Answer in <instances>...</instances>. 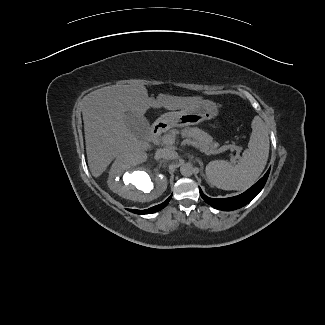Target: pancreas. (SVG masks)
Listing matches in <instances>:
<instances>
[{
	"mask_svg": "<svg viewBox=\"0 0 325 325\" xmlns=\"http://www.w3.org/2000/svg\"><path fill=\"white\" fill-rule=\"evenodd\" d=\"M177 131L172 130L168 135H172ZM182 136L190 137L196 141L200 150H207V151H216L219 144L213 141V138L203 130L198 128H190L186 127L182 130Z\"/></svg>",
	"mask_w": 325,
	"mask_h": 325,
	"instance_id": "cf45deb5",
	"label": "pancreas"
}]
</instances>
